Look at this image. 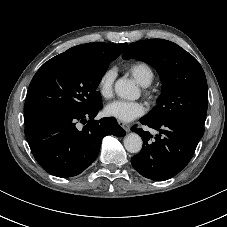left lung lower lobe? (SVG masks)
<instances>
[{
  "instance_id": "left-lung-lower-lobe-1",
  "label": "left lung lower lobe",
  "mask_w": 227,
  "mask_h": 227,
  "mask_svg": "<svg viewBox=\"0 0 227 227\" xmlns=\"http://www.w3.org/2000/svg\"><path fill=\"white\" fill-rule=\"evenodd\" d=\"M140 122L159 134L153 138L148 131L136 126L131 128L143 140L142 150L131 159V163L141 175L155 181L170 179L183 170L204 133L203 126L187 120L153 122L143 117Z\"/></svg>"
}]
</instances>
